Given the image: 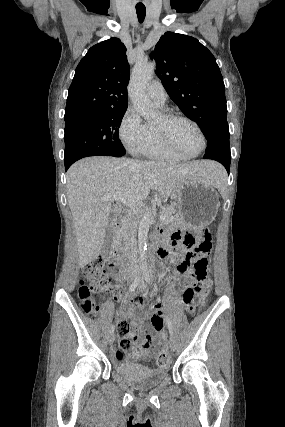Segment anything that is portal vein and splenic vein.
<instances>
[{"label":"portal vein and splenic vein","mask_w":285,"mask_h":427,"mask_svg":"<svg viewBox=\"0 0 285 427\" xmlns=\"http://www.w3.org/2000/svg\"><path fill=\"white\" fill-rule=\"evenodd\" d=\"M101 200L102 201H117V202L123 203V204L128 205V206H133L135 203L134 201L128 200L126 197H124L121 194H110V195L102 197ZM166 218H167V216L165 214L160 215V220H165Z\"/></svg>","instance_id":"obj_1"}]
</instances>
